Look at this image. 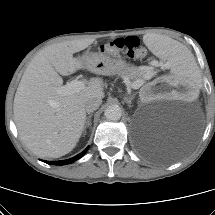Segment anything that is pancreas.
<instances>
[{
    "mask_svg": "<svg viewBox=\"0 0 215 215\" xmlns=\"http://www.w3.org/2000/svg\"><path fill=\"white\" fill-rule=\"evenodd\" d=\"M154 71L153 67H127L124 71L120 72L119 75L128 81H130V85L134 84L137 80L140 79H148L152 76Z\"/></svg>",
    "mask_w": 215,
    "mask_h": 215,
    "instance_id": "pancreas-1",
    "label": "pancreas"
}]
</instances>
